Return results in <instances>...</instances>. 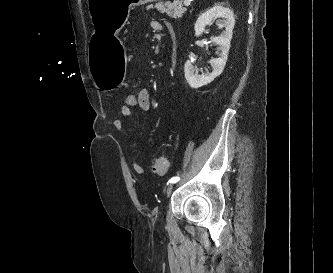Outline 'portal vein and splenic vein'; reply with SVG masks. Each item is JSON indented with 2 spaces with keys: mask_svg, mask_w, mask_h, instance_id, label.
<instances>
[{
  "mask_svg": "<svg viewBox=\"0 0 333 273\" xmlns=\"http://www.w3.org/2000/svg\"><path fill=\"white\" fill-rule=\"evenodd\" d=\"M191 1H193V0H184V5L185 6H189L190 3H191Z\"/></svg>",
  "mask_w": 333,
  "mask_h": 273,
  "instance_id": "portal-vein-and-splenic-vein-1",
  "label": "portal vein and splenic vein"
}]
</instances>
